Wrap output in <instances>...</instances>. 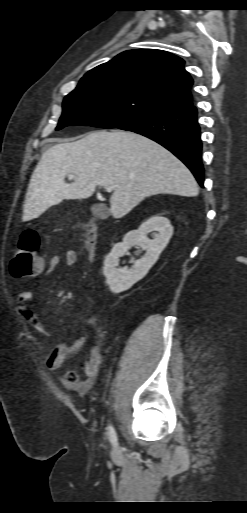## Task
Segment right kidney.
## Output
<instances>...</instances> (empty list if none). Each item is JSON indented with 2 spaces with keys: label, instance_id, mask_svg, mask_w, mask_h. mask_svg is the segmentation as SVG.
<instances>
[{
  "label": "right kidney",
  "instance_id": "1",
  "mask_svg": "<svg viewBox=\"0 0 247 513\" xmlns=\"http://www.w3.org/2000/svg\"><path fill=\"white\" fill-rule=\"evenodd\" d=\"M149 233H151L152 239L147 237ZM172 235L173 226L166 217L162 216L149 218L141 224L138 230L128 232L124 236L123 242L117 243L113 247L104 262L103 273L110 290L113 293L123 292L142 279L158 260ZM133 245H139L145 249V255L135 261L131 269L117 268L119 258Z\"/></svg>",
  "mask_w": 247,
  "mask_h": 513
}]
</instances>
